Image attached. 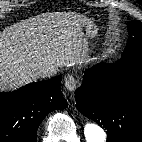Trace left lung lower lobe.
I'll return each mask as SVG.
<instances>
[{
	"label": "left lung lower lobe",
	"instance_id": "0a47b994",
	"mask_svg": "<svg viewBox=\"0 0 142 142\" xmlns=\"http://www.w3.org/2000/svg\"><path fill=\"white\" fill-rule=\"evenodd\" d=\"M77 109L107 129V142L142 138V60L99 63L75 91ZM142 142V141H141Z\"/></svg>",
	"mask_w": 142,
	"mask_h": 142
}]
</instances>
